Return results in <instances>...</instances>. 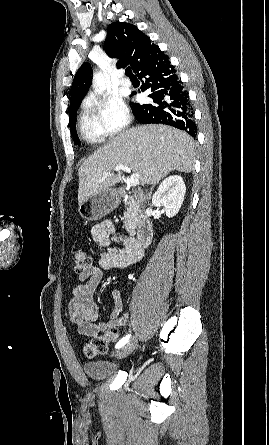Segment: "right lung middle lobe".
<instances>
[{"instance_id": "1", "label": "right lung middle lobe", "mask_w": 269, "mask_h": 445, "mask_svg": "<svg viewBox=\"0 0 269 445\" xmlns=\"http://www.w3.org/2000/svg\"><path fill=\"white\" fill-rule=\"evenodd\" d=\"M79 103L75 104L74 106H72L69 109V126H70V131L71 134L73 136V139L75 141V143H80L79 138L77 137V132H76V115H77V109H78Z\"/></svg>"}]
</instances>
